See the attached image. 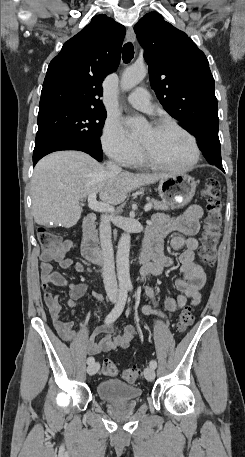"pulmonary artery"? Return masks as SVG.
<instances>
[{
    "instance_id": "pulmonary-artery-1",
    "label": "pulmonary artery",
    "mask_w": 245,
    "mask_h": 457,
    "mask_svg": "<svg viewBox=\"0 0 245 457\" xmlns=\"http://www.w3.org/2000/svg\"><path fill=\"white\" fill-rule=\"evenodd\" d=\"M147 86H136L132 94L126 97V101L137 109L151 111V95Z\"/></svg>"
}]
</instances>
